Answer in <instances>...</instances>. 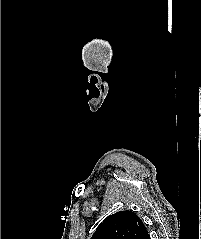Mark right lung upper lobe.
Returning <instances> with one entry per match:
<instances>
[{
    "mask_svg": "<svg viewBox=\"0 0 201 239\" xmlns=\"http://www.w3.org/2000/svg\"><path fill=\"white\" fill-rule=\"evenodd\" d=\"M91 239H151L146 227L132 211L109 215L96 229Z\"/></svg>",
    "mask_w": 201,
    "mask_h": 239,
    "instance_id": "right-lung-upper-lobe-1",
    "label": "right lung upper lobe"
}]
</instances>
